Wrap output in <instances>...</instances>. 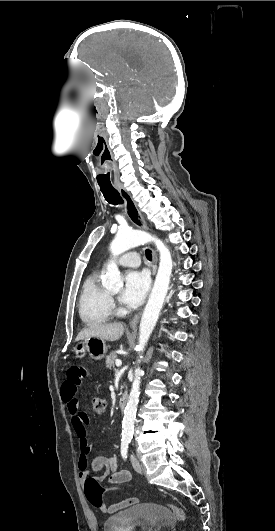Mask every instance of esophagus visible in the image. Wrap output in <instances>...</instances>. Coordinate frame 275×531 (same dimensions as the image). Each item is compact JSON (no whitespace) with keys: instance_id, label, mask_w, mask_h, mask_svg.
I'll return each mask as SVG.
<instances>
[{"instance_id":"34e87169","label":"esophagus","mask_w":275,"mask_h":531,"mask_svg":"<svg viewBox=\"0 0 275 531\" xmlns=\"http://www.w3.org/2000/svg\"><path fill=\"white\" fill-rule=\"evenodd\" d=\"M115 188L117 189V191H119L120 196L124 200L125 211L128 217L130 218V220L132 221V223H134L137 227L141 229L148 230V227L146 225V222L141 212L137 208L136 204L134 203L132 197L130 196L126 188L122 184L115 185ZM157 262H158L157 253L156 251H153V268H152L153 275L155 274L156 269H157ZM140 315H141V312H139L138 314L134 316V318L130 322L131 328H137Z\"/></svg>"}]
</instances>
